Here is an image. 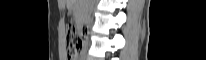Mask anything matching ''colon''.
I'll return each instance as SVG.
<instances>
[{"mask_svg":"<svg viewBox=\"0 0 206 60\" xmlns=\"http://www.w3.org/2000/svg\"><path fill=\"white\" fill-rule=\"evenodd\" d=\"M66 41L68 46V60L77 59L82 48V39L78 35L76 28L72 25L66 28Z\"/></svg>","mask_w":206,"mask_h":60,"instance_id":"colon-1","label":"colon"}]
</instances>
